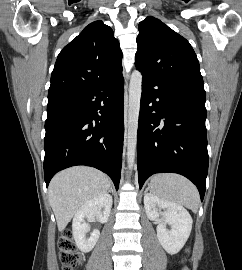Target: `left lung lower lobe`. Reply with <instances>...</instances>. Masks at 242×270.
Returning a JSON list of instances; mask_svg holds the SVG:
<instances>
[{
    "mask_svg": "<svg viewBox=\"0 0 242 270\" xmlns=\"http://www.w3.org/2000/svg\"><path fill=\"white\" fill-rule=\"evenodd\" d=\"M206 114L205 97L171 90L143 76L137 135L140 189L152 174L178 173L197 186L203 200L208 171Z\"/></svg>",
    "mask_w": 242,
    "mask_h": 270,
    "instance_id": "1",
    "label": "left lung lower lobe"
}]
</instances>
